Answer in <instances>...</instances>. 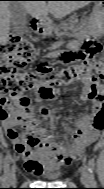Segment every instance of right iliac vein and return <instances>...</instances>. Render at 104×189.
<instances>
[{
	"label": "right iliac vein",
	"instance_id": "1",
	"mask_svg": "<svg viewBox=\"0 0 104 189\" xmlns=\"http://www.w3.org/2000/svg\"><path fill=\"white\" fill-rule=\"evenodd\" d=\"M15 180V168L12 167L8 173V182L12 183Z\"/></svg>",
	"mask_w": 104,
	"mask_h": 189
}]
</instances>
